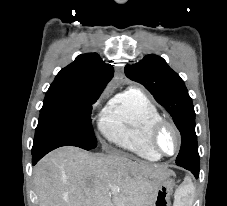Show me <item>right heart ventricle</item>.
<instances>
[{
  "mask_svg": "<svg viewBox=\"0 0 227 206\" xmlns=\"http://www.w3.org/2000/svg\"><path fill=\"white\" fill-rule=\"evenodd\" d=\"M161 113L142 91L130 88L111 99L103 111L99 128L111 143L150 161L160 156L148 144L150 126Z\"/></svg>",
  "mask_w": 227,
  "mask_h": 206,
  "instance_id": "obj_1",
  "label": "right heart ventricle"
}]
</instances>
